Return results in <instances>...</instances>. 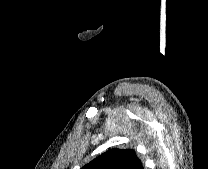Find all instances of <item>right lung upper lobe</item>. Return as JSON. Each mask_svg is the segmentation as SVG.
<instances>
[{"label": "right lung upper lobe", "mask_w": 208, "mask_h": 169, "mask_svg": "<svg viewBox=\"0 0 208 169\" xmlns=\"http://www.w3.org/2000/svg\"><path fill=\"white\" fill-rule=\"evenodd\" d=\"M81 169H144L131 149H109Z\"/></svg>", "instance_id": "1"}]
</instances>
